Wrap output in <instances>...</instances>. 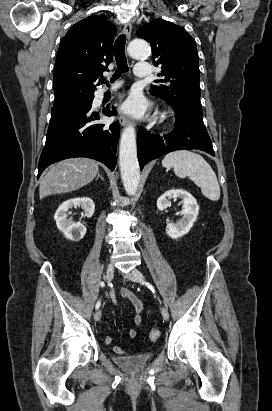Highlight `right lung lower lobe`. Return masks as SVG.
<instances>
[{
    "label": "right lung lower lobe",
    "instance_id": "obj_1",
    "mask_svg": "<svg viewBox=\"0 0 272 411\" xmlns=\"http://www.w3.org/2000/svg\"><path fill=\"white\" fill-rule=\"evenodd\" d=\"M92 101L51 115L37 178L50 164L72 157L92 158L104 163L111 171L115 169L119 123L107 124L99 120L103 115H115L116 111L114 108L110 110L109 105L94 111Z\"/></svg>",
    "mask_w": 272,
    "mask_h": 411
}]
</instances>
